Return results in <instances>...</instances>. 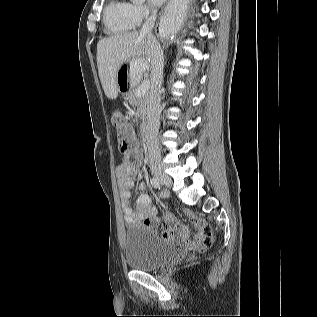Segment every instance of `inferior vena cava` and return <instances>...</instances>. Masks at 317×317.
Masks as SVG:
<instances>
[{
  "label": "inferior vena cava",
  "mask_w": 317,
  "mask_h": 317,
  "mask_svg": "<svg viewBox=\"0 0 317 317\" xmlns=\"http://www.w3.org/2000/svg\"><path fill=\"white\" fill-rule=\"evenodd\" d=\"M157 16V10L152 8L151 15L145 20L140 34L145 35L152 43V72H151V89L147 97V109H146V128H145V141L148 149V157L152 169L160 167L161 156L159 143L157 140L159 125H160V113H161V98L160 89L163 81V68H164V56L160 44L152 34Z\"/></svg>",
  "instance_id": "obj_1"
}]
</instances>
